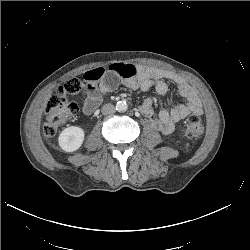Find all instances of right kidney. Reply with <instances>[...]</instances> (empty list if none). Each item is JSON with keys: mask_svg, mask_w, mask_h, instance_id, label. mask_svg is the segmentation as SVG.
I'll list each match as a JSON object with an SVG mask.
<instances>
[{"mask_svg": "<svg viewBox=\"0 0 250 250\" xmlns=\"http://www.w3.org/2000/svg\"><path fill=\"white\" fill-rule=\"evenodd\" d=\"M84 131L77 126L65 128L59 135V146L65 152H73L79 149L84 141Z\"/></svg>", "mask_w": 250, "mask_h": 250, "instance_id": "right-kidney-1", "label": "right kidney"}]
</instances>
